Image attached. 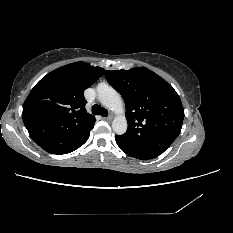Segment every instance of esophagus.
I'll return each instance as SVG.
<instances>
[{
	"label": "esophagus",
	"mask_w": 233,
	"mask_h": 233,
	"mask_svg": "<svg viewBox=\"0 0 233 233\" xmlns=\"http://www.w3.org/2000/svg\"><path fill=\"white\" fill-rule=\"evenodd\" d=\"M114 117V114L113 113H110L109 116H107L105 119L108 120V121H111Z\"/></svg>",
	"instance_id": "obj_1"
}]
</instances>
